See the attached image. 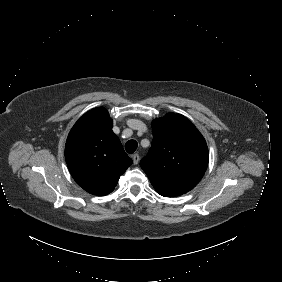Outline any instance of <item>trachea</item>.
I'll list each match as a JSON object with an SVG mask.
<instances>
[{"instance_id": "3493384b", "label": "trachea", "mask_w": 282, "mask_h": 282, "mask_svg": "<svg viewBox=\"0 0 282 282\" xmlns=\"http://www.w3.org/2000/svg\"><path fill=\"white\" fill-rule=\"evenodd\" d=\"M137 147H138L137 141H135L133 139L127 141L126 144H125V149L129 154L134 153L136 151Z\"/></svg>"}]
</instances>
